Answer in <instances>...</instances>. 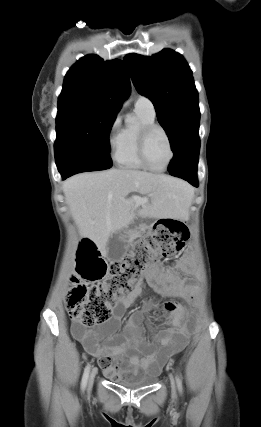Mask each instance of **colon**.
Instances as JSON below:
<instances>
[{
	"mask_svg": "<svg viewBox=\"0 0 261 427\" xmlns=\"http://www.w3.org/2000/svg\"><path fill=\"white\" fill-rule=\"evenodd\" d=\"M188 237L183 223L160 220L152 234L132 244L121 262L110 264L92 240H82L78 249L77 275L72 278L66 302L71 320L86 327L108 321L116 300L134 289L153 262L180 253ZM174 307L172 302L165 305L166 310Z\"/></svg>",
	"mask_w": 261,
	"mask_h": 427,
	"instance_id": "1",
	"label": "colon"
}]
</instances>
